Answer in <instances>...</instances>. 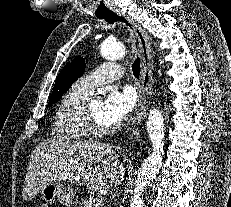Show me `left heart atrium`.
Segmentation results:
<instances>
[{
  "instance_id": "obj_1",
  "label": "left heart atrium",
  "mask_w": 231,
  "mask_h": 207,
  "mask_svg": "<svg viewBox=\"0 0 231 207\" xmlns=\"http://www.w3.org/2000/svg\"><path fill=\"white\" fill-rule=\"evenodd\" d=\"M136 94L131 88L113 89L107 95L102 107V118L109 126L121 123L132 111Z\"/></svg>"
}]
</instances>
